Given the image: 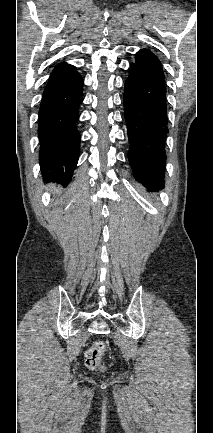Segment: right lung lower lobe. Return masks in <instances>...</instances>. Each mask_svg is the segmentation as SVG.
<instances>
[{"label":"right lung lower lobe","instance_id":"right-lung-lower-lobe-1","mask_svg":"<svg viewBox=\"0 0 213 433\" xmlns=\"http://www.w3.org/2000/svg\"><path fill=\"white\" fill-rule=\"evenodd\" d=\"M83 79L76 68L58 64L44 89L38 137L40 167L44 180L68 183L79 157L80 135L76 128L83 101Z\"/></svg>","mask_w":213,"mask_h":433}]
</instances>
